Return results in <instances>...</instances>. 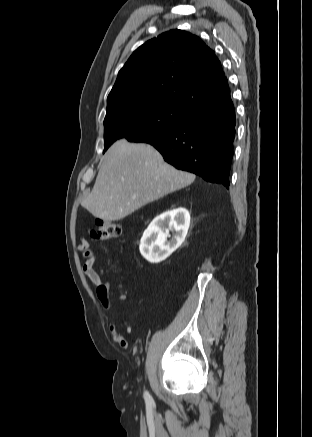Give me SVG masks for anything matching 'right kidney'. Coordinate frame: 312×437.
Returning a JSON list of instances; mask_svg holds the SVG:
<instances>
[{"label": "right kidney", "instance_id": "ca27d5eb", "mask_svg": "<svg viewBox=\"0 0 312 437\" xmlns=\"http://www.w3.org/2000/svg\"><path fill=\"white\" fill-rule=\"evenodd\" d=\"M189 225L190 214L185 208H177L156 217L141 238V255L151 263L164 261L184 242ZM169 231L173 232L170 240Z\"/></svg>", "mask_w": 312, "mask_h": 437}]
</instances>
